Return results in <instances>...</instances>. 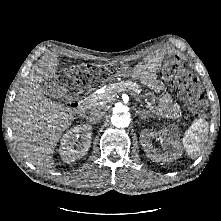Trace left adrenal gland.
Here are the masks:
<instances>
[{
	"label": "left adrenal gland",
	"mask_w": 221,
	"mask_h": 221,
	"mask_svg": "<svg viewBox=\"0 0 221 221\" xmlns=\"http://www.w3.org/2000/svg\"><path fill=\"white\" fill-rule=\"evenodd\" d=\"M138 113H141V111H139ZM146 114H147V112L143 111L142 114H140V118L146 119L147 118Z\"/></svg>",
	"instance_id": "1"
}]
</instances>
